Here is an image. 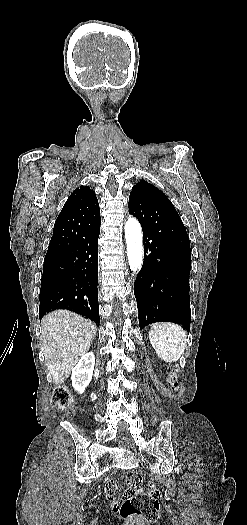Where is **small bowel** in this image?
I'll return each instance as SVG.
<instances>
[{
	"instance_id": "obj_1",
	"label": "small bowel",
	"mask_w": 247,
	"mask_h": 525,
	"mask_svg": "<svg viewBox=\"0 0 247 525\" xmlns=\"http://www.w3.org/2000/svg\"><path fill=\"white\" fill-rule=\"evenodd\" d=\"M117 486V481L111 479L108 481L105 491L107 505L110 507V511L112 513H117L119 511V506L117 504H114Z\"/></svg>"
}]
</instances>
